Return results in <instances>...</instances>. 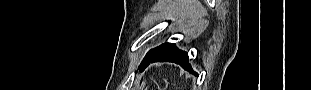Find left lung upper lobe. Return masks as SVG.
I'll return each instance as SVG.
<instances>
[{
	"label": "left lung upper lobe",
	"mask_w": 311,
	"mask_h": 90,
	"mask_svg": "<svg viewBox=\"0 0 311 90\" xmlns=\"http://www.w3.org/2000/svg\"><path fill=\"white\" fill-rule=\"evenodd\" d=\"M153 50H154V49H151V50L147 53L146 58L143 59V61H145V60L149 57V55L153 52Z\"/></svg>",
	"instance_id": "obj_1"
}]
</instances>
